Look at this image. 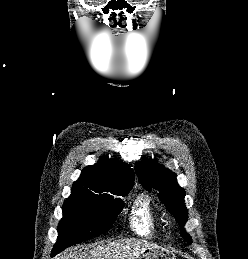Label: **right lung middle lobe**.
Wrapping results in <instances>:
<instances>
[{"mask_svg": "<svg viewBox=\"0 0 248 259\" xmlns=\"http://www.w3.org/2000/svg\"><path fill=\"white\" fill-rule=\"evenodd\" d=\"M129 190L113 193L71 191L62 207L63 218L52 253L57 254L108 231L124 207L122 200L113 195L126 196Z\"/></svg>", "mask_w": 248, "mask_h": 259, "instance_id": "1", "label": "right lung middle lobe"}]
</instances>
